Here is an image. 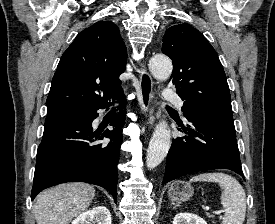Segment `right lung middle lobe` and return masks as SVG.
Masks as SVG:
<instances>
[{
    "label": "right lung middle lobe",
    "mask_w": 275,
    "mask_h": 224,
    "mask_svg": "<svg viewBox=\"0 0 275 224\" xmlns=\"http://www.w3.org/2000/svg\"><path fill=\"white\" fill-rule=\"evenodd\" d=\"M85 109H65V110H59L56 112L48 113V115L52 114H58V113H75V112H83Z\"/></svg>",
    "instance_id": "1"
}]
</instances>
